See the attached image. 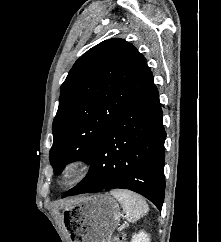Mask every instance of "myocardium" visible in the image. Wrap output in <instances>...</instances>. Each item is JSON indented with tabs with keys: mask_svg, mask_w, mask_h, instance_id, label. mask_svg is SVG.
I'll list each match as a JSON object with an SVG mask.
<instances>
[{
	"mask_svg": "<svg viewBox=\"0 0 221 242\" xmlns=\"http://www.w3.org/2000/svg\"><path fill=\"white\" fill-rule=\"evenodd\" d=\"M87 162L82 157H76L65 161L59 171L60 180L63 183H71L84 173Z\"/></svg>",
	"mask_w": 221,
	"mask_h": 242,
	"instance_id": "myocardium-1",
	"label": "myocardium"
}]
</instances>
